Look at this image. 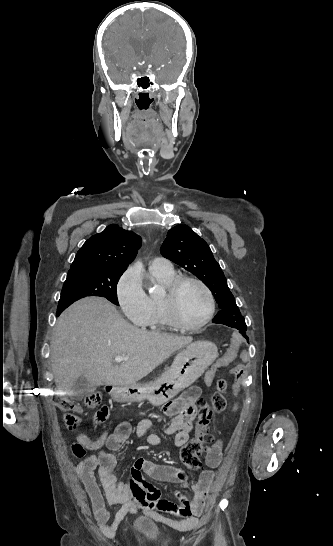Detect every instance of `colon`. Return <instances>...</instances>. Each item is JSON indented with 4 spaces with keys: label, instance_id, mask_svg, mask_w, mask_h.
<instances>
[{
    "label": "colon",
    "instance_id": "5ec220e1",
    "mask_svg": "<svg viewBox=\"0 0 333 546\" xmlns=\"http://www.w3.org/2000/svg\"><path fill=\"white\" fill-rule=\"evenodd\" d=\"M235 376L231 378L234 389H242V379L244 378L245 368L243 366L234 367L231 370ZM217 391L211 397L209 406L203 399H198L195 403L197 413V431L195 436L181 447L180 456L184 464L192 471L201 468L200 456L209 448L212 440L211 426L214 416L226 408L227 401L224 393L228 389V383L225 379H218L216 382ZM57 405L61 411L67 412L63 417L64 425L70 430H77L81 419L77 415L81 411L78 403L66 396H60L56 399ZM86 406L93 408L101 403L99 393H90L85 397ZM110 414V408L102 405L94 416L95 424L104 423ZM185 503L189 502L188 497L183 496Z\"/></svg>",
    "mask_w": 333,
    "mask_h": 546
}]
</instances>
